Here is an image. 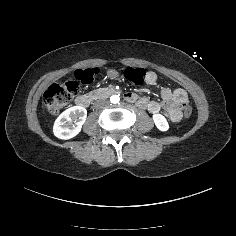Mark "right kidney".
I'll return each mask as SVG.
<instances>
[{
	"label": "right kidney",
	"mask_w": 236,
	"mask_h": 236,
	"mask_svg": "<svg viewBox=\"0 0 236 236\" xmlns=\"http://www.w3.org/2000/svg\"><path fill=\"white\" fill-rule=\"evenodd\" d=\"M87 118V110L80 106L71 107L62 112L55 120L53 134L61 140H69L77 136Z\"/></svg>",
	"instance_id": "obj_1"
}]
</instances>
